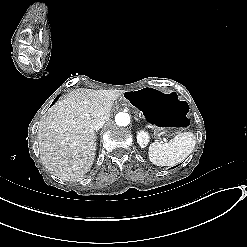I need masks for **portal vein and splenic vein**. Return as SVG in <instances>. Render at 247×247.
<instances>
[{"mask_svg": "<svg viewBox=\"0 0 247 247\" xmlns=\"http://www.w3.org/2000/svg\"><path fill=\"white\" fill-rule=\"evenodd\" d=\"M164 143H167V138H163Z\"/></svg>", "mask_w": 247, "mask_h": 247, "instance_id": "18ae733b", "label": "portal vein and splenic vein"}]
</instances>
